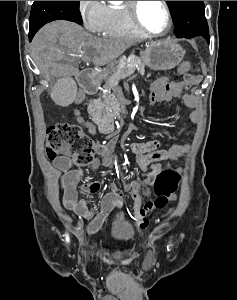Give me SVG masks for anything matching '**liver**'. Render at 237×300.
<instances>
[{"instance_id": "6515ba94", "label": "liver", "mask_w": 237, "mask_h": 300, "mask_svg": "<svg viewBox=\"0 0 237 300\" xmlns=\"http://www.w3.org/2000/svg\"><path fill=\"white\" fill-rule=\"evenodd\" d=\"M132 45L128 39L94 37L69 21L48 23L31 43L33 61L46 79L77 75L79 63L86 59L95 67L114 63Z\"/></svg>"}]
</instances>
